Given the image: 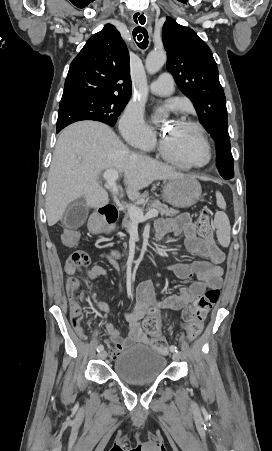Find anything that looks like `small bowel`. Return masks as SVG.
<instances>
[{"label": "small bowel", "instance_id": "c3829d8e", "mask_svg": "<svg viewBox=\"0 0 272 451\" xmlns=\"http://www.w3.org/2000/svg\"><path fill=\"white\" fill-rule=\"evenodd\" d=\"M157 238H162L167 234L174 237L183 236V243L188 253L196 254L205 259H198L191 263H175L170 266L174 274L182 280H190L196 277L189 286L180 288L178 294H172L163 300L156 301V292L153 283L146 281L141 283L136 290V302L131 309L125 312V319L128 323L129 332L126 337L120 335L119 330L111 323L105 322L103 326L108 334L105 341L109 348L110 360H116L123 350L134 343H151L154 338H162L161 326L158 323L154 330H144L141 320L149 317H157L158 311L163 309V316L167 317L172 311L183 310L206 289H218L222 284L223 268L221 263L225 259L223 251L218 245H205L204 238L198 236L200 228L192 222L188 214H182L175 219H159L155 224ZM212 236V235H211ZM81 252V251H80ZM69 276L67 279V297L70 301V311H82L77 302L79 288L87 279L105 280L109 279L107 270L94 265L90 269H84L82 274L74 277L73 270H65ZM117 295H119V287ZM82 299L93 303L96 308L104 312H112L113 305L91 299L87 292L82 294ZM90 321H96L93 316Z\"/></svg>", "mask_w": 272, "mask_h": 451}]
</instances>
